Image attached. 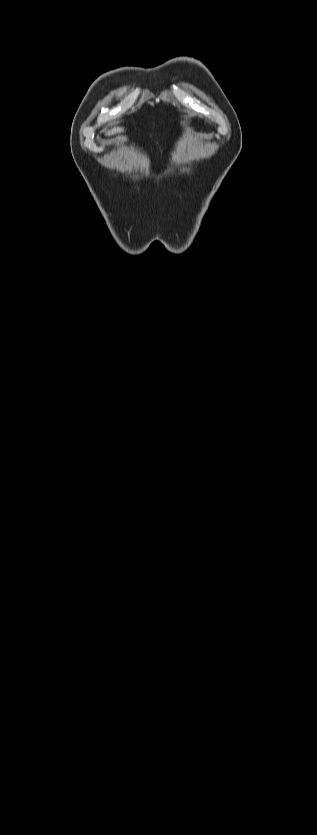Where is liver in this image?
<instances>
[{
  "label": "liver",
  "mask_w": 317,
  "mask_h": 835,
  "mask_svg": "<svg viewBox=\"0 0 317 835\" xmlns=\"http://www.w3.org/2000/svg\"><path fill=\"white\" fill-rule=\"evenodd\" d=\"M121 132H124V129H123V128H120V127H117V128H113L112 130H110V131L107 133V135H108V136H111V135H114V134H116V133H121Z\"/></svg>",
  "instance_id": "liver-1"
}]
</instances>
